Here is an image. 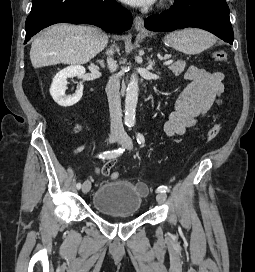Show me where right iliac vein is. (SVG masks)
<instances>
[{"label":"right iliac vein","mask_w":255,"mask_h":272,"mask_svg":"<svg viewBox=\"0 0 255 272\" xmlns=\"http://www.w3.org/2000/svg\"><path fill=\"white\" fill-rule=\"evenodd\" d=\"M122 136L116 135V134H110L109 136V142L114 143V142H121ZM91 188V182L89 180H86L83 185H82V192L83 193H88Z\"/></svg>","instance_id":"1"}]
</instances>
